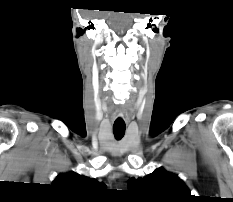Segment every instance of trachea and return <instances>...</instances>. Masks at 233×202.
Returning <instances> with one entry per match:
<instances>
[{
    "mask_svg": "<svg viewBox=\"0 0 233 202\" xmlns=\"http://www.w3.org/2000/svg\"><path fill=\"white\" fill-rule=\"evenodd\" d=\"M125 125H113V133L116 139H121L125 134Z\"/></svg>",
    "mask_w": 233,
    "mask_h": 202,
    "instance_id": "3493384b",
    "label": "trachea"
}]
</instances>
